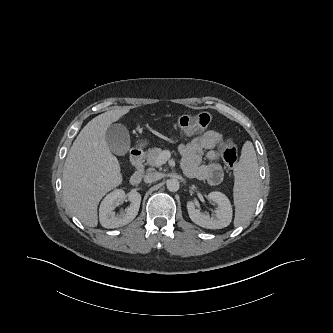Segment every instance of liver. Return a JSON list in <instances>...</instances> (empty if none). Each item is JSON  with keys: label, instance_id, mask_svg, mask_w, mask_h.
<instances>
[{"label": "liver", "instance_id": "liver-1", "mask_svg": "<svg viewBox=\"0 0 333 333\" xmlns=\"http://www.w3.org/2000/svg\"><path fill=\"white\" fill-rule=\"evenodd\" d=\"M117 107L89 121L70 148L63 168L62 189L67 208L83 224L96 227L102 197L122 182L118 159L106 139L107 128L129 112Z\"/></svg>", "mask_w": 333, "mask_h": 333}]
</instances>
